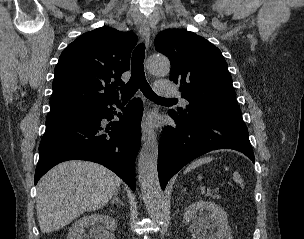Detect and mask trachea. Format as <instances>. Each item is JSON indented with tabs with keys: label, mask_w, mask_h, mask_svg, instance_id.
<instances>
[{
	"label": "trachea",
	"mask_w": 304,
	"mask_h": 239,
	"mask_svg": "<svg viewBox=\"0 0 304 239\" xmlns=\"http://www.w3.org/2000/svg\"><path fill=\"white\" fill-rule=\"evenodd\" d=\"M145 44L140 43L134 50L131 60V77L126 85L120 88V92L124 99L131 98L140 88L142 93L152 101H173L176 99H166L156 95L146 81L144 72Z\"/></svg>",
	"instance_id": "obj_1"
}]
</instances>
